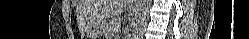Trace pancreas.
Wrapping results in <instances>:
<instances>
[{
  "instance_id": "cf45deb5",
  "label": "pancreas",
  "mask_w": 249,
  "mask_h": 39,
  "mask_svg": "<svg viewBox=\"0 0 249 39\" xmlns=\"http://www.w3.org/2000/svg\"><path fill=\"white\" fill-rule=\"evenodd\" d=\"M120 25V21L116 18H113L109 20V22L106 24L104 28V34L105 36L112 38L117 36L118 34V27Z\"/></svg>"
}]
</instances>
